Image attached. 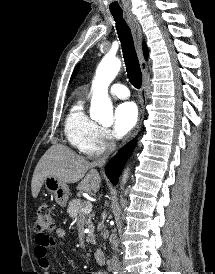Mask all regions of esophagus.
Masks as SVG:
<instances>
[{
  "mask_svg": "<svg viewBox=\"0 0 215 274\" xmlns=\"http://www.w3.org/2000/svg\"><path fill=\"white\" fill-rule=\"evenodd\" d=\"M126 16H127V19L129 21L131 27H132L133 36H134V40H135V46H136L137 53H138L139 60H140L141 70L144 74H146L147 63L144 59L143 52H142V31H141L140 25H139L136 17L134 15H132L131 13H128ZM145 105H146V86L144 83L141 88V109H140L139 119H138L136 128L134 130V133L132 134V138L138 133V131L141 128L142 121H143L144 114H145Z\"/></svg>",
  "mask_w": 215,
  "mask_h": 274,
  "instance_id": "34e87169",
  "label": "esophagus"
}]
</instances>
